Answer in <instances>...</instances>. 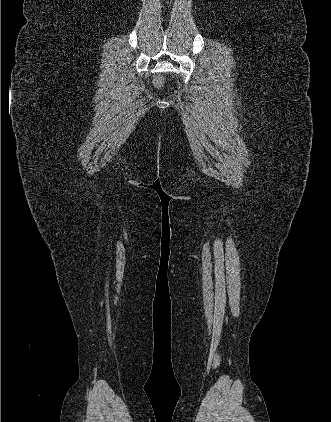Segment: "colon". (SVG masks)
<instances>
[{
    "instance_id": "colon-1",
    "label": "colon",
    "mask_w": 331,
    "mask_h": 422,
    "mask_svg": "<svg viewBox=\"0 0 331 422\" xmlns=\"http://www.w3.org/2000/svg\"><path fill=\"white\" fill-rule=\"evenodd\" d=\"M161 84H162V79L160 77L156 78L155 79V85L160 86Z\"/></svg>"
}]
</instances>
